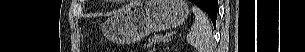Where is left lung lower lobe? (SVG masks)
<instances>
[{
  "mask_svg": "<svg viewBox=\"0 0 305 52\" xmlns=\"http://www.w3.org/2000/svg\"><path fill=\"white\" fill-rule=\"evenodd\" d=\"M191 2L195 3L199 7H201L208 15L210 12L217 13V4L218 0H190ZM213 25L216 26V20L211 19Z\"/></svg>",
  "mask_w": 305,
  "mask_h": 52,
  "instance_id": "0a47b994",
  "label": "left lung lower lobe"
}]
</instances>
